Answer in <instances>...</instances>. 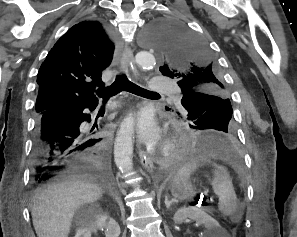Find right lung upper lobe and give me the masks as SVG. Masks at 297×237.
Wrapping results in <instances>:
<instances>
[{
  "label": "right lung upper lobe",
  "instance_id": "right-lung-upper-lobe-1",
  "mask_svg": "<svg viewBox=\"0 0 297 237\" xmlns=\"http://www.w3.org/2000/svg\"><path fill=\"white\" fill-rule=\"evenodd\" d=\"M114 44L98 21H83L63 35L38 72L36 113L94 105L102 71L111 63Z\"/></svg>",
  "mask_w": 297,
  "mask_h": 237
}]
</instances>
